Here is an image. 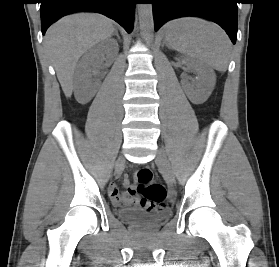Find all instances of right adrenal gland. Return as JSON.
Listing matches in <instances>:
<instances>
[{
    "mask_svg": "<svg viewBox=\"0 0 279 267\" xmlns=\"http://www.w3.org/2000/svg\"><path fill=\"white\" fill-rule=\"evenodd\" d=\"M113 35H116V36H117V39L120 40V36H119L118 31H117L116 29H115Z\"/></svg>",
    "mask_w": 279,
    "mask_h": 267,
    "instance_id": "1",
    "label": "right adrenal gland"
}]
</instances>
